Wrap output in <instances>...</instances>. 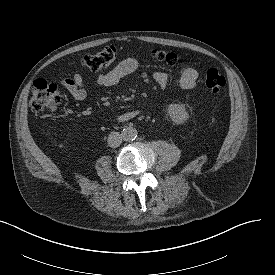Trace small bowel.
I'll list each match as a JSON object with an SVG mask.
<instances>
[{
  "instance_id": "1",
  "label": "small bowel",
  "mask_w": 275,
  "mask_h": 275,
  "mask_svg": "<svg viewBox=\"0 0 275 275\" xmlns=\"http://www.w3.org/2000/svg\"><path fill=\"white\" fill-rule=\"evenodd\" d=\"M138 68V61L133 57L123 59L112 70L98 75L95 79V87L104 89L116 86L122 79L131 75ZM199 73L193 67H185L181 70L177 84L181 89H192L195 87ZM153 78L160 89L165 90L169 83V76L165 71L156 70ZM62 86L77 101H83L88 97V85L80 73H74L71 76L64 77L61 80ZM139 110H130L119 116L121 120H129L137 116Z\"/></svg>"
}]
</instances>
